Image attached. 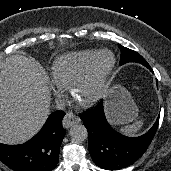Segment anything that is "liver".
<instances>
[{"label": "liver", "mask_w": 171, "mask_h": 171, "mask_svg": "<svg viewBox=\"0 0 171 171\" xmlns=\"http://www.w3.org/2000/svg\"><path fill=\"white\" fill-rule=\"evenodd\" d=\"M45 73L30 59L11 55L0 62V143L32 138L50 113Z\"/></svg>", "instance_id": "obj_1"}]
</instances>
